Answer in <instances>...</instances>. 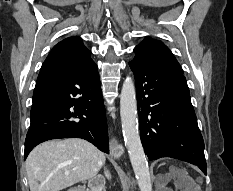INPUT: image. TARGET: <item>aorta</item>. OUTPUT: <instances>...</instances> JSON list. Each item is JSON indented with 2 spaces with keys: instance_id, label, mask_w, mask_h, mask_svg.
<instances>
[{
  "instance_id": "obj_1",
  "label": "aorta",
  "mask_w": 233,
  "mask_h": 191,
  "mask_svg": "<svg viewBox=\"0 0 233 191\" xmlns=\"http://www.w3.org/2000/svg\"><path fill=\"white\" fill-rule=\"evenodd\" d=\"M120 116L125 146L128 150L140 191H152L148 162L138 131L135 86L130 77L125 79L122 86Z\"/></svg>"
}]
</instances>
